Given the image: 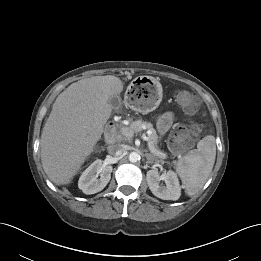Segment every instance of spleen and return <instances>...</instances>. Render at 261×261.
<instances>
[{"label":"spleen","instance_id":"1","mask_svg":"<svg viewBox=\"0 0 261 261\" xmlns=\"http://www.w3.org/2000/svg\"><path fill=\"white\" fill-rule=\"evenodd\" d=\"M215 157V138L206 136L198 142L197 149L177 162L176 172L189 196L195 195L203 187L212 172Z\"/></svg>","mask_w":261,"mask_h":261}]
</instances>
